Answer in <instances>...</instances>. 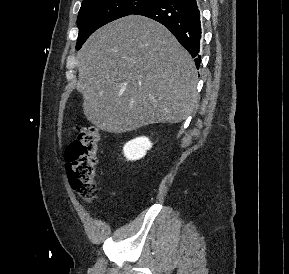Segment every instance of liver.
Listing matches in <instances>:
<instances>
[{
	"instance_id": "1",
	"label": "liver",
	"mask_w": 289,
	"mask_h": 274,
	"mask_svg": "<svg viewBox=\"0 0 289 274\" xmlns=\"http://www.w3.org/2000/svg\"><path fill=\"white\" fill-rule=\"evenodd\" d=\"M77 87L87 120L119 134L179 123L193 110L197 71L163 25L130 15L94 32L77 54Z\"/></svg>"
}]
</instances>
